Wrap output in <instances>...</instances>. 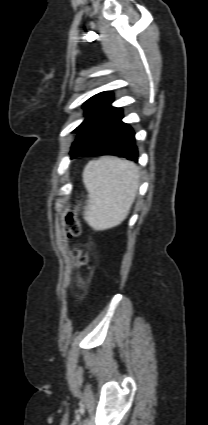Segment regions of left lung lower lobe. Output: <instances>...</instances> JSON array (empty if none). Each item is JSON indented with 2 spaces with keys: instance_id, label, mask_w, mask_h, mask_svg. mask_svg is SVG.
<instances>
[{
  "instance_id": "obj_1",
  "label": "left lung lower lobe",
  "mask_w": 208,
  "mask_h": 425,
  "mask_svg": "<svg viewBox=\"0 0 208 425\" xmlns=\"http://www.w3.org/2000/svg\"><path fill=\"white\" fill-rule=\"evenodd\" d=\"M122 118L120 108L109 104L102 110L76 138L82 147L80 155H115L138 161L134 132Z\"/></svg>"
}]
</instances>
